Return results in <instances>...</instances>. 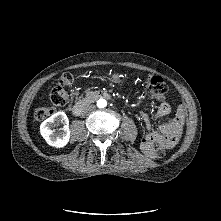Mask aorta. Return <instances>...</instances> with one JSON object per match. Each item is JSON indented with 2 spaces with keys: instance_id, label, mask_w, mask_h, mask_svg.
I'll return each instance as SVG.
<instances>
[{
  "instance_id": "762f6f07",
  "label": "aorta",
  "mask_w": 221,
  "mask_h": 221,
  "mask_svg": "<svg viewBox=\"0 0 221 221\" xmlns=\"http://www.w3.org/2000/svg\"><path fill=\"white\" fill-rule=\"evenodd\" d=\"M107 106V101L105 99L97 100V107L98 108H105Z\"/></svg>"
}]
</instances>
